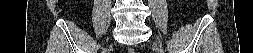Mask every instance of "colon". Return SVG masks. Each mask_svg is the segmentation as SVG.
I'll return each instance as SVG.
<instances>
[{
    "label": "colon",
    "mask_w": 253,
    "mask_h": 53,
    "mask_svg": "<svg viewBox=\"0 0 253 53\" xmlns=\"http://www.w3.org/2000/svg\"><path fill=\"white\" fill-rule=\"evenodd\" d=\"M128 52H129V53H133L134 51H133V49L130 48V49L128 50Z\"/></svg>",
    "instance_id": "1"
}]
</instances>
